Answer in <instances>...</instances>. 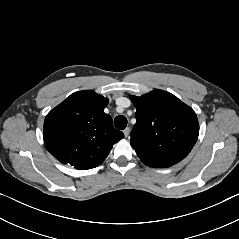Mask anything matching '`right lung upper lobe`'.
Listing matches in <instances>:
<instances>
[{
    "label": "right lung upper lobe",
    "mask_w": 239,
    "mask_h": 239,
    "mask_svg": "<svg viewBox=\"0 0 239 239\" xmlns=\"http://www.w3.org/2000/svg\"><path fill=\"white\" fill-rule=\"evenodd\" d=\"M107 104V98L91 90L71 94L45 118L43 138L48 151L77 170L100 165L124 137L104 113Z\"/></svg>",
    "instance_id": "1"
}]
</instances>
